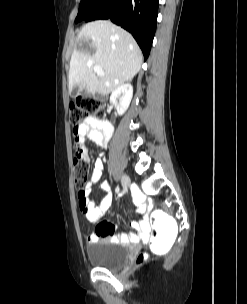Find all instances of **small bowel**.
I'll return each instance as SVG.
<instances>
[{
	"label": "small bowel",
	"instance_id": "obj_1",
	"mask_svg": "<svg viewBox=\"0 0 247 304\" xmlns=\"http://www.w3.org/2000/svg\"><path fill=\"white\" fill-rule=\"evenodd\" d=\"M112 132L113 127L109 121L92 117L85 119L78 127L77 131L74 132L73 145L75 148L73 149V156H76L78 162H89L90 156L88 155V150L84 145L85 140H91L99 147L106 148ZM103 167V160L98 158L94 163L91 179L85 187L84 194L82 197H79V206L85 218L89 222L96 224L95 232L87 237V241L94 243L99 239L109 237L113 241L146 243L148 237H150L151 231L150 220L148 217H145L141 221L132 223V227L139 232L138 234L123 233L120 235L115 233V225L104 219L106 212L112 203V196L109 193V184L107 181L102 182L100 185V189L105 192V195L99 203L89 198L91 188L93 184L98 182L100 179ZM137 201L138 210L141 213H145L148 207L141 194L137 195Z\"/></svg>",
	"mask_w": 247,
	"mask_h": 304
}]
</instances>
